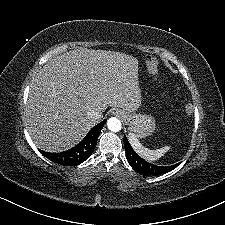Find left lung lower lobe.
<instances>
[{
    "label": "left lung lower lobe",
    "mask_w": 225,
    "mask_h": 225,
    "mask_svg": "<svg viewBox=\"0 0 225 225\" xmlns=\"http://www.w3.org/2000/svg\"><path fill=\"white\" fill-rule=\"evenodd\" d=\"M124 147L126 150V157L131 165V167L141 175L151 176V175H160L165 174L173 169H175L180 163L172 166H158L151 163H148L142 159L138 154L132 149L130 143L128 142L126 136H124Z\"/></svg>",
    "instance_id": "obj_1"
}]
</instances>
